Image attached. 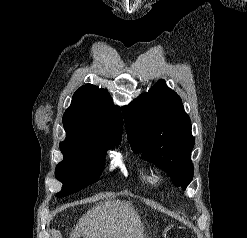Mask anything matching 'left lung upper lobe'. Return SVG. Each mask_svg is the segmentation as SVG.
Wrapping results in <instances>:
<instances>
[{
	"instance_id": "5c2ea615",
	"label": "left lung upper lobe",
	"mask_w": 247,
	"mask_h": 238,
	"mask_svg": "<svg viewBox=\"0 0 247 238\" xmlns=\"http://www.w3.org/2000/svg\"><path fill=\"white\" fill-rule=\"evenodd\" d=\"M131 148L163 168L178 187L193 179L191 121L181 98L159 80L122 109Z\"/></svg>"
}]
</instances>
